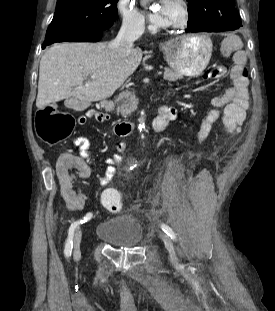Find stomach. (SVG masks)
Returning a JSON list of instances; mask_svg holds the SVG:
<instances>
[{"label": "stomach", "mask_w": 275, "mask_h": 311, "mask_svg": "<svg viewBox=\"0 0 275 311\" xmlns=\"http://www.w3.org/2000/svg\"><path fill=\"white\" fill-rule=\"evenodd\" d=\"M212 47L211 39L203 34L185 35L160 46L170 68L185 76H197L206 69Z\"/></svg>", "instance_id": "0dacf381"}]
</instances>
